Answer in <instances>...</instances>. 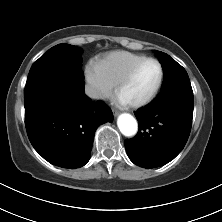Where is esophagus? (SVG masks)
<instances>
[{
	"label": "esophagus",
	"instance_id": "obj_1",
	"mask_svg": "<svg viewBox=\"0 0 222 222\" xmlns=\"http://www.w3.org/2000/svg\"><path fill=\"white\" fill-rule=\"evenodd\" d=\"M113 114H114V116L116 117V116H118L119 112L116 111V110H113Z\"/></svg>",
	"mask_w": 222,
	"mask_h": 222
}]
</instances>
